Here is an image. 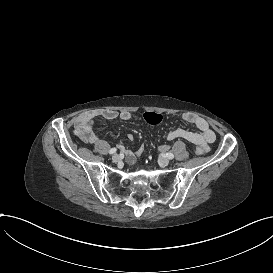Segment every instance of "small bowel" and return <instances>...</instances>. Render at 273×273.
Masks as SVG:
<instances>
[{"instance_id":"1","label":"small bowel","mask_w":273,"mask_h":273,"mask_svg":"<svg viewBox=\"0 0 273 273\" xmlns=\"http://www.w3.org/2000/svg\"><path fill=\"white\" fill-rule=\"evenodd\" d=\"M132 114L129 111H116V110H102V111H88L86 114L81 115L74 123V137L78 141H83L86 145H91L94 150H97L101 155H106L110 151V146L103 142L99 135L91 126L95 123L96 119L129 121ZM183 120L187 123L194 125L197 132L186 130L183 128H176L170 130L166 138L170 141L176 139H184L196 146V150L200 154H205L209 151V145L215 141V132L210 127V124L203 117L193 114L185 113L182 116ZM130 140L133 139L129 135ZM134 151L126 154V161L128 164H134L137 161Z\"/></svg>"}]
</instances>
